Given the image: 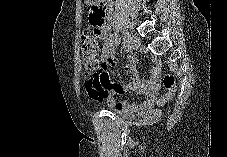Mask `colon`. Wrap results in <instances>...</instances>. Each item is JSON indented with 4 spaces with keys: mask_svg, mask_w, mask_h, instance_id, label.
Here are the masks:
<instances>
[{
    "mask_svg": "<svg viewBox=\"0 0 227 157\" xmlns=\"http://www.w3.org/2000/svg\"><path fill=\"white\" fill-rule=\"evenodd\" d=\"M91 16H99V9H93ZM97 26V25H96ZM98 49V35L91 33L89 30H84L81 34V50L83 57V66L86 73L87 84H96L101 78V71L99 70V60L97 58ZM163 85L167 93L158 100V105H164L175 92V79L171 74H165L163 77Z\"/></svg>",
    "mask_w": 227,
    "mask_h": 157,
    "instance_id": "5ec220e1",
    "label": "colon"
}]
</instances>
